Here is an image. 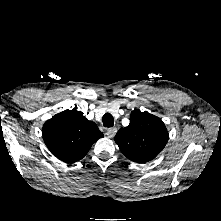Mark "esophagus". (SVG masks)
Segmentation results:
<instances>
[{
	"mask_svg": "<svg viewBox=\"0 0 221 221\" xmlns=\"http://www.w3.org/2000/svg\"><path fill=\"white\" fill-rule=\"evenodd\" d=\"M117 132V129L116 128H109L107 129L106 131V135L109 137V138H113L115 136Z\"/></svg>",
	"mask_w": 221,
	"mask_h": 221,
	"instance_id": "esophagus-1",
	"label": "esophagus"
}]
</instances>
